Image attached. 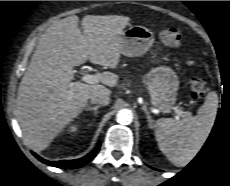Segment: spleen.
Listing matches in <instances>:
<instances>
[{"label":"spleen","instance_id":"obj_1","mask_svg":"<svg viewBox=\"0 0 230 186\" xmlns=\"http://www.w3.org/2000/svg\"><path fill=\"white\" fill-rule=\"evenodd\" d=\"M218 108L215 91L207 94L197 115L180 121L162 118L154 125L159 149L175 166H186L200 151L214 125Z\"/></svg>","mask_w":230,"mask_h":186}]
</instances>
